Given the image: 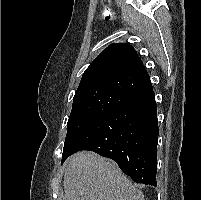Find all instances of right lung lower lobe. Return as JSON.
<instances>
[{"instance_id": "98d812e1", "label": "right lung lower lobe", "mask_w": 201, "mask_h": 200, "mask_svg": "<svg viewBox=\"0 0 201 200\" xmlns=\"http://www.w3.org/2000/svg\"><path fill=\"white\" fill-rule=\"evenodd\" d=\"M157 107L153 90L128 100L80 131L62 163L80 150L114 160L133 181L156 186Z\"/></svg>"}]
</instances>
